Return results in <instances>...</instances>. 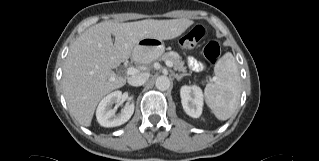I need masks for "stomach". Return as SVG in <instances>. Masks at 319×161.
Here are the masks:
<instances>
[{"instance_id": "1", "label": "stomach", "mask_w": 319, "mask_h": 161, "mask_svg": "<svg viewBox=\"0 0 319 161\" xmlns=\"http://www.w3.org/2000/svg\"><path fill=\"white\" fill-rule=\"evenodd\" d=\"M164 50L165 47L162 40L143 38L134 47L132 56L136 62L147 64L158 59Z\"/></svg>"}]
</instances>
